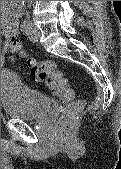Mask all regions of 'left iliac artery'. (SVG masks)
I'll use <instances>...</instances> for the list:
<instances>
[{
    "mask_svg": "<svg viewBox=\"0 0 121 169\" xmlns=\"http://www.w3.org/2000/svg\"><path fill=\"white\" fill-rule=\"evenodd\" d=\"M30 24L31 22L29 20H25L23 21V23L21 24V30L25 33H27V31L29 30L30 28Z\"/></svg>",
    "mask_w": 121,
    "mask_h": 169,
    "instance_id": "obj_1",
    "label": "left iliac artery"
}]
</instances>
